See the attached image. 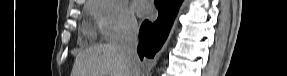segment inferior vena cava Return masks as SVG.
Here are the masks:
<instances>
[{"instance_id":"obj_1","label":"inferior vena cava","mask_w":287,"mask_h":76,"mask_svg":"<svg viewBox=\"0 0 287 76\" xmlns=\"http://www.w3.org/2000/svg\"><path fill=\"white\" fill-rule=\"evenodd\" d=\"M138 33V24L131 19L125 26L119 41L121 53L126 57L130 66V76L140 74V59L137 53Z\"/></svg>"}]
</instances>
